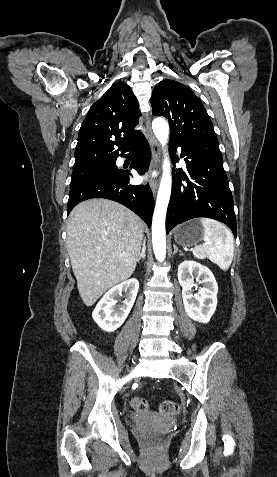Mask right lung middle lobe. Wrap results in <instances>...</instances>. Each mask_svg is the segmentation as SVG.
Masks as SVG:
<instances>
[{"mask_svg":"<svg viewBox=\"0 0 277 477\" xmlns=\"http://www.w3.org/2000/svg\"><path fill=\"white\" fill-rule=\"evenodd\" d=\"M116 169H117V166L114 164L113 161L92 164V165L83 166L79 168H73L70 187L88 178H91L99 173L114 171Z\"/></svg>","mask_w":277,"mask_h":477,"instance_id":"right-lung-middle-lobe-1","label":"right lung middle lobe"}]
</instances>
